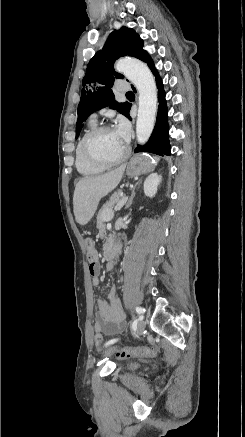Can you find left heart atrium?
Here are the masks:
<instances>
[{"label": "left heart atrium", "mask_w": 245, "mask_h": 437, "mask_svg": "<svg viewBox=\"0 0 245 437\" xmlns=\"http://www.w3.org/2000/svg\"><path fill=\"white\" fill-rule=\"evenodd\" d=\"M115 132L118 137L127 145L129 140V126L124 119H118Z\"/></svg>", "instance_id": "39dd6f15"}]
</instances>
